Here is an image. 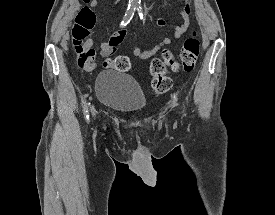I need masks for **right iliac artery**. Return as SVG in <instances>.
<instances>
[{"label": "right iliac artery", "instance_id": "82829eb1", "mask_svg": "<svg viewBox=\"0 0 275 215\" xmlns=\"http://www.w3.org/2000/svg\"><path fill=\"white\" fill-rule=\"evenodd\" d=\"M136 10V7H128L127 12L125 13V16L123 18V20L120 23V27H125L133 18L134 16V12ZM87 97V95H85V98ZM84 105H83V112L85 115V118L88 119L89 115H88V103L86 101V99L84 100Z\"/></svg>", "mask_w": 275, "mask_h": 215}]
</instances>
